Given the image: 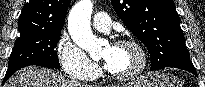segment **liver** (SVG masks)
Masks as SVG:
<instances>
[{"instance_id":"1","label":"liver","mask_w":205,"mask_h":87,"mask_svg":"<svg viewBox=\"0 0 205 87\" xmlns=\"http://www.w3.org/2000/svg\"><path fill=\"white\" fill-rule=\"evenodd\" d=\"M4 87H91L70 80L39 66H29L17 71L4 84Z\"/></svg>"}]
</instances>
